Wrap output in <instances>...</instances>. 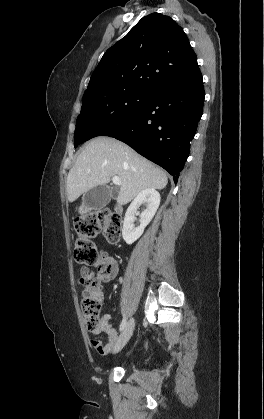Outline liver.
Wrapping results in <instances>:
<instances>
[{"label": "liver", "instance_id": "6515ba94", "mask_svg": "<svg viewBox=\"0 0 264 419\" xmlns=\"http://www.w3.org/2000/svg\"><path fill=\"white\" fill-rule=\"evenodd\" d=\"M118 176L122 183L117 196L121 205L129 203L145 189L166 187V173L114 138L99 136L82 149L67 177L66 192L74 202L88 190L105 185Z\"/></svg>", "mask_w": 264, "mask_h": 419}]
</instances>
